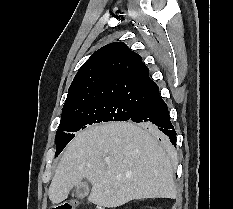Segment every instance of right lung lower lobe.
Returning <instances> with one entry per match:
<instances>
[{
	"mask_svg": "<svg viewBox=\"0 0 233 209\" xmlns=\"http://www.w3.org/2000/svg\"><path fill=\"white\" fill-rule=\"evenodd\" d=\"M129 120L155 127L157 131L166 134L176 146V132L170 122L168 107L159 94L141 105Z\"/></svg>",
	"mask_w": 233,
	"mask_h": 209,
	"instance_id": "obj_1",
	"label": "right lung lower lobe"
}]
</instances>
